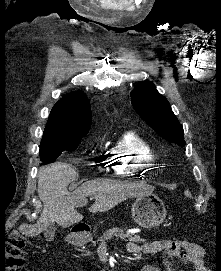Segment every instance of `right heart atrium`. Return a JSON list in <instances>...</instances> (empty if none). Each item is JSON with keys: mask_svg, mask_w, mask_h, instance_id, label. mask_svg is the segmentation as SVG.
Here are the masks:
<instances>
[{"mask_svg": "<svg viewBox=\"0 0 221 271\" xmlns=\"http://www.w3.org/2000/svg\"><path fill=\"white\" fill-rule=\"evenodd\" d=\"M98 156H99V159H103L105 162L108 161L110 162L112 160V156L113 155H116V154H111L110 151H98ZM108 165L105 167L106 168V172L107 173H110L111 171L108 170Z\"/></svg>", "mask_w": 221, "mask_h": 271, "instance_id": "right-heart-atrium-1", "label": "right heart atrium"}]
</instances>
